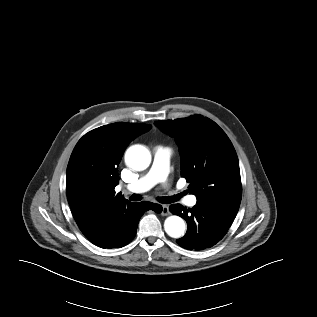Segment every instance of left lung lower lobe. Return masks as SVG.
Listing matches in <instances>:
<instances>
[{
	"label": "left lung lower lobe",
	"mask_w": 317,
	"mask_h": 317,
	"mask_svg": "<svg viewBox=\"0 0 317 317\" xmlns=\"http://www.w3.org/2000/svg\"><path fill=\"white\" fill-rule=\"evenodd\" d=\"M240 202L229 200L197 199L193 208L180 204L170 205V211L184 218L188 229L177 243L188 250H204L218 243L231 226Z\"/></svg>",
	"instance_id": "1"
}]
</instances>
